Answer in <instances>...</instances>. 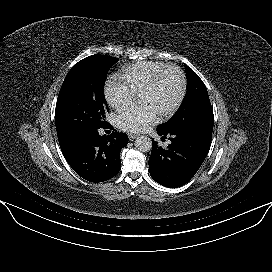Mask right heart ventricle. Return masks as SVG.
I'll return each instance as SVG.
<instances>
[{
    "instance_id": "1",
    "label": "right heart ventricle",
    "mask_w": 272,
    "mask_h": 272,
    "mask_svg": "<svg viewBox=\"0 0 272 272\" xmlns=\"http://www.w3.org/2000/svg\"><path fill=\"white\" fill-rule=\"evenodd\" d=\"M166 65L160 61H138L124 67L120 78L135 94H138L151 78Z\"/></svg>"
}]
</instances>
